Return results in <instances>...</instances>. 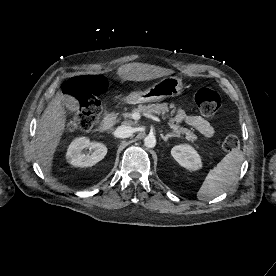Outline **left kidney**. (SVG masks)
Wrapping results in <instances>:
<instances>
[{
	"instance_id": "5707ae66",
	"label": "left kidney",
	"mask_w": 276,
	"mask_h": 276,
	"mask_svg": "<svg viewBox=\"0 0 276 276\" xmlns=\"http://www.w3.org/2000/svg\"><path fill=\"white\" fill-rule=\"evenodd\" d=\"M173 158L184 168L196 171L202 167V162L197 151L190 145L181 144L171 150Z\"/></svg>"
}]
</instances>
